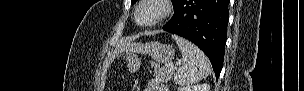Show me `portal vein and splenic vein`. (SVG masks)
<instances>
[{"label": "portal vein and splenic vein", "mask_w": 304, "mask_h": 91, "mask_svg": "<svg viewBox=\"0 0 304 91\" xmlns=\"http://www.w3.org/2000/svg\"><path fill=\"white\" fill-rule=\"evenodd\" d=\"M170 69H173L174 68V65L173 64H168L167 65Z\"/></svg>", "instance_id": "1"}]
</instances>
